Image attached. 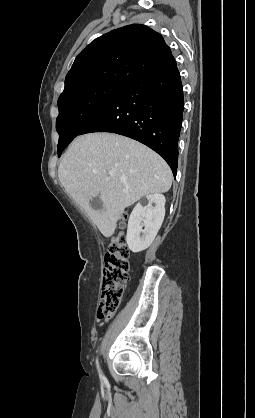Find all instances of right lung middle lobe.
<instances>
[{"mask_svg": "<svg viewBox=\"0 0 255 418\" xmlns=\"http://www.w3.org/2000/svg\"><path fill=\"white\" fill-rule=\"evenodd\" d=\"M126 86L127 84L119 82L96 81L77 86L60 95L59 115L56 119V129L59 134L58 156Z\"/></svg>", "mask_w": 255, "mask_h": 418, "instance_id": "dd1d6c3e", "label": "right lung middle lobe"}]
</instances>
